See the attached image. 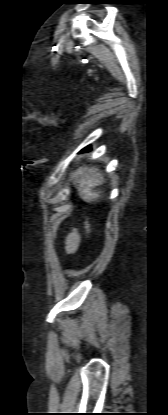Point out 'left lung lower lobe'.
Returning <instances> with one entry per match:
<instances>
[{
	"mask_svg": "<svg viewBox=\"0 0 168 415\" xmlns=\"http://www.w3.org/2000/svg\"><path fill=\"white\" fill-rule=\"evenodd\" d=\"M90 149H91V146H87L81 152H83V151H89Z\"/></svg>",
	"mask_w": 168,
	"mask_h": 415,
	"instance_id": "obj_1",
	"label": "left lung lower lobe"
}]
</instances>
